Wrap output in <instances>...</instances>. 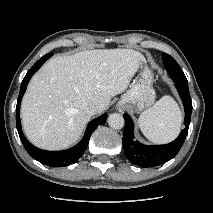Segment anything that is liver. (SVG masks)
Returning <instances> with one entry per match:
<instances>
[{
	"label": "liver",
	"mask_w": 213,
	"mask_h": 213,
	"mask_svg": "<svg viewBox=\"0 0 213 213\" xmlns=\"http://www.w3.org/2000/svg\"><path fill=\"white\" fill-rule=\"evenodd\" d=\"M144 63L131 49H94L46 62L32 77L21 104L24 133L35 146L61 150L80 138L98 104L100 112L125 91Z\"/></svg>",
	"instance_id": "6515ba94"
}]
</instances>
